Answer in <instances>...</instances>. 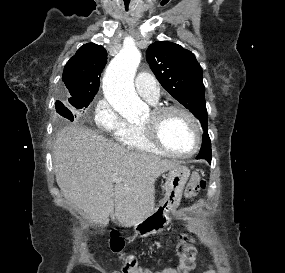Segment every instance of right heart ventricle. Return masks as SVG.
I'll return each mask as SVG.
<instances>
[{
  "label": "right heart ventricle",
  "mask_w": 285,
  "mask_h": 273,
  "mask_svg": "<svg viewBox=\"0 0 285 273\" xmlns=\"http://www.w3.org/2000/svg\"><path fill=\"white\" fill-rule=\"evenodd\" d=\"M118 141L130 150L152 154L163 153L147 140L141 125L130 124L129 129L118 138Z\"/></svg>",
  "instance_id": "e07e8e85"
}]
</instances>
